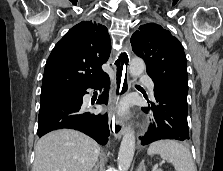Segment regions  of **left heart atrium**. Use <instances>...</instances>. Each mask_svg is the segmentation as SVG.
I'll return each instance as SVG.
<instances>
[{
    "mask_svg": "<svg viewBox=\"0 0 223 171\" xmlns=\"http://www.w3.org/2000/svg\"><path fill=\"white\" fill-rule=\"evenodd\" d=\"M126 111V106L125 105H120L117 109V112L119 115H123Z\"/></svg>",
    "mask_w": 223,
    "mask_h": 171,
    "instance_id": "obj_1",
    "label": "left heart atrium"
}]
</instances>
